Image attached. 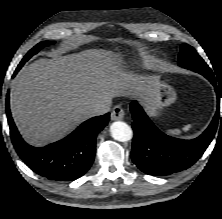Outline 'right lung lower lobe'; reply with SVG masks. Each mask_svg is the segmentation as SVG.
<instances>
[{
	"label": "right lung lower lobe",
	"mask_w": 222,
	"mask_h": 219,
	"mask_svg": "<svg viewBox=\"0 0 222 219\" xmlns=\"http://www.w3.org/2000/svg\"><path fill=\"white\" fill-rule=\"evenodd\" d=\"M16 69L13 76L17 74ZM6 113L12 143L19 157L37 174L54 181H72L84 175L91 167L96 153L97 134L108 124L109 113L82 123L66 138L42 148L28 145L21 138L9 107Z\"/></svg>",
	"instance_id": "obj_1"
}]
</instances>
